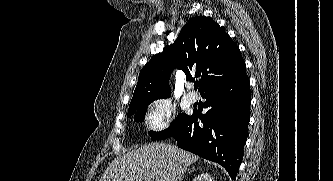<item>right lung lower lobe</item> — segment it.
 Wrapping results in <instances>:
<instances>
[{"label": "right lung lower lobe", "mask_w": 333, "mask_h": 181, "mask_svg": "<svg viewBox=\"0 0 333 181\" xmlns=\"http://www.w3.org/2000/svg\"><path fill=\"white\" fill-rule=\"evenodd\" d=\"M201 95L206 99L207 113L187 116L172 137L178 147L222 165L235 180L250 120L248 76L208 89Z\"/></svg>", "instance_id": "1"}]
</instances>
